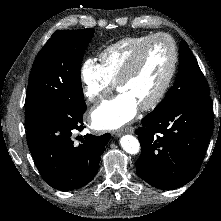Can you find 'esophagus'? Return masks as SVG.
I'll use <instances>...</instances> for the list:
<instances>
[{
    "label": "esophagus",
    "mask_w": 221,
    "mask_h": 221,
    "mask_svg": "<svg viewBox=\"0 0 221 221\" xmlns=\"http://www.w3.org/2000/svg\"><path fill=\"white\" fill-rule=\"evenodd\" d=\"M123 133H134V128L133 127H126L125 129L118 130L114 132L116 136H121Z\"/></svg>",
    "instance_id": "obj_1"
}]
</instances>
